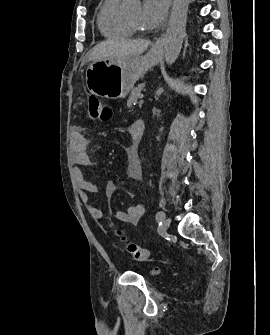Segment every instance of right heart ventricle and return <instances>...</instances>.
<instances>
[{
    "label": "right heart ventricle",
    "mask_w": 270,
    "mask_h": 335,
    "mask_svg": "<svg viewBox=\"0 0 270 335\" xmlns=\"http://www.w3.org/2000/svg\"><path fill=\"white\" fill-rule=\"evenodd\" d=\"M120 0H105L100 4L97 14V26L101 34L109 39L132 37L134 31L119 13Z\"/></svg>",
    "instance_id": "e07e8e85"
}]
</instances>
